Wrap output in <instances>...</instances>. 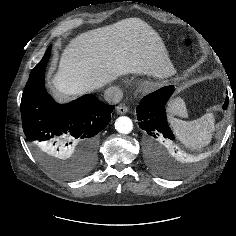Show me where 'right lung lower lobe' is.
<instances>
[{
  "label": "right lung lower lobe",
  "mask_w": 236,
  "mask_h": 236,
  "mask_svg": "<svg viewBox=\"0 0 236 236\" xmlns=\"http://www.w3.org/2000/svg\"><path fill=\"white\" fill-rule=\"evenodd\" d=\"M51 46L32 69L21 99L23 131L36 147L46 152L74 154L84 161H93L97 134L104 129L114 110L92 94L68 104L54 102L44 86V74Z\"/></svg>",
  "instance_id": "right-lung-lower-lobe-1"
}]
</instances>
